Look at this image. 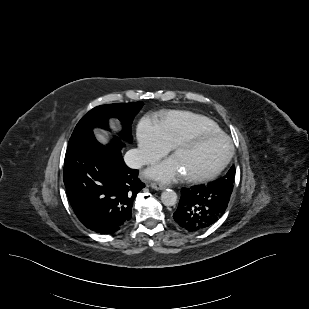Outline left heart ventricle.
Here are the masks:
<instances>
[{
  "mask_svg": "<svg viewBox=\"0 0 309 309\" xmlns=\"http://www.w3.org/2000/svg\"><path fill=\"white\" fill-rule=\"evenodd\" d=\"M227 153V143L222 138L207 137L179 149L178 159L185 175L205 174L214 170Z\"/></svg>",
  "mask_w": 309,
  "mask_h": 309,
  "instance_id": "b2bd125f",
  "label": "left heart ventricle"
}]
</instances>
